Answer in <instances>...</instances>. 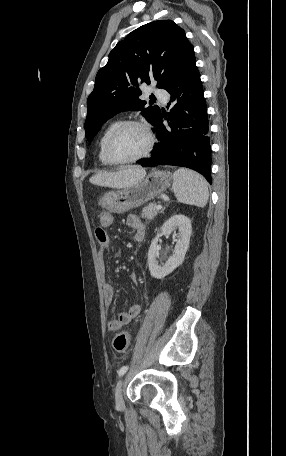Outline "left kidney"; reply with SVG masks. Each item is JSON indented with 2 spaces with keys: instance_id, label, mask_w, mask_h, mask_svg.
Here are the masks:
<instances>
[{
  "instance_id": "left-kidney-1",
  "label": "left kidney",
  "mask_w": 286,
  "mask_h": 456,
  "mask_svg": "<svg viewBox=\"0 0 286 456\" xmlns=\"http://www.w3.org/2000/svg\"><path fill=\"white\" fill-rule=\"evenodd\" d=\"M176 229L179 231V239L175 245L173 255L165 263L159 264L157 260L159 258V238L163 235L171 234ZM191 233V220L182 214L172 216L162 225L161 232L152 240L148 251V265L152 277L162 279L183 263L189 248Z\"/></svg>"
}]
</instances>
